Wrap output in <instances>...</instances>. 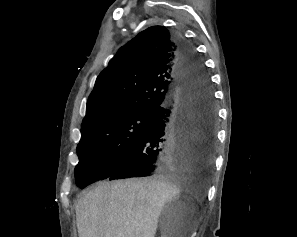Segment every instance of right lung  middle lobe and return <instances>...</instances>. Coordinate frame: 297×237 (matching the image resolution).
Returning <instances> with one entry per match:
<instances>
[{
  "instance_id": "obj_1",
  "label": "right lung middle lobe",
  "mask_w": 297,
  "mask_h": 237,
  "mask_svg": "<svg viewBox=\"0 0 297 237\" xmlns=\"http://www.w3.org/2000/svg\"><path fill=\"white\" fill-rule=\"evenodd\" d=\"M154 112H135L95 122L81 131L75 180L80 188L97 181L141 138Z\"/></svg>"
}]
</instances>
